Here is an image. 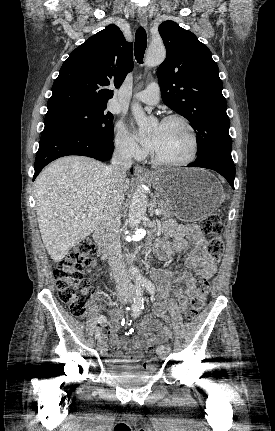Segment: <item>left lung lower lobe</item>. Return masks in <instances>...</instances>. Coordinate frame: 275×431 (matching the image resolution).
<instances>
[{"label": "left lung lower lobe", "mask_w": 275, "mask_h": 431, "mask_svg": "<svg viewBox=\"0 0 275 431\" xmlns=\"http://www.w3.org/2000/svg\"><path fill=\"white\" fill-rule=\"evenodd\" d=\"M188 167H202L212 169L221 174L234 189L235 166L230 152L215 153L203 158H197Z\"/></svg>", "instance_id": "left-lung-lower-lobe-1"}]
</instances>
